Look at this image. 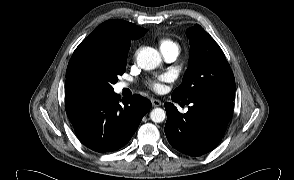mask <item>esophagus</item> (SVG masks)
I'll use <instances>...</instances> for the list:
<instances>
[{
    "label": "esophagus",
    "mask_w": 294,
    "mask_h": 180,
    "mask_svg": "<svg viewBox=\"0 0 294 180\" xmlns=\"http://www.w3.org/2000/svg\"><path fill=\"white\" fill-rule=\"evenodd\" d=\"M151 103H152L153 107H158V106L162 105V102L160 100H158V99H152Z\"/></svg>",
    "instance_id": "34e87169"
}]
</instances>
